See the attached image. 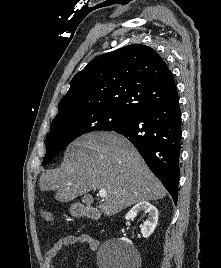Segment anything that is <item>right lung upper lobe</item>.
Instances as JSON below:
<instances>
[{"instance_id": "obj_1", "label": "right lung upper lobe", "mask_w": 221, "mask_h": 268, "mask_svg": "<svg viewBox=\"0 0 221 268\" xmlns=\"http://www.w3.org/2000/svg\"><path fill=\"white\" fill-rule=\"evenodd\" d=\"M177 98L166 63L152 48L134 44L98 56L77 73L57 116L110 110L132 118Z\"/></svg>"}]
</instances>
